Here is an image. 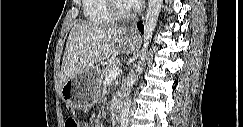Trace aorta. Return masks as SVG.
I'll return each mask as SVG.
<instances>
[{"instance_id":"762f6f07","label":"aorta","mask_w":243,"mask_h":127,"mask_svg":"<svg viewBox=\"0 0 243 127\" xmlns=\"http://www.w3.org/2000/svg\"><path fill=\"white\" fill-rule=\"evenodd\" d=\"M162 4L163 0H149L148 2V8L144 21L143 47L140 53V61L138 62V66L136 69L138 74H140L143 70L148 46L152 39V35L158 21ZM137 80L138 76L136 78V81ZM130 104L131 99L127 98L120 113V127H128L130 116Z\"/></svg>"}]
</instances>
